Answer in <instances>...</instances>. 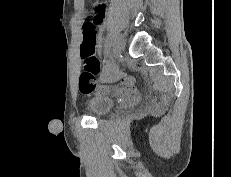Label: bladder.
<instances>
[{
	"mask_svg": "<svg viewBox=\"0 0 231 177\" xmlns=\"http://www.w3.org/2000/svg\"><path fill=\"white\" fill-rule=\"evenodd\" d=\"M113 105V99L105 95H95L87 102L88 110L94 117L106 115L112 109Z\"/></svg>",
	"mask_w": 231,
	"mask_h": 177,
	"instance_id": "obj_1",
	"label": "bladder"
}]
</instances>
